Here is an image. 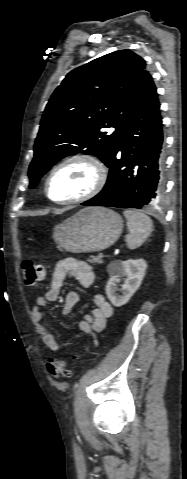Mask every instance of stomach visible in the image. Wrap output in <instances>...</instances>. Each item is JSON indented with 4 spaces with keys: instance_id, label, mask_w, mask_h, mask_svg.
<instances>
[{
    "instance_id": "1",
    "label": "stomach",
    "mask_w": 187,
    "mask_h": 479,
    "mask_svg": "<svg viewBox=\"0 0 187 479\" xmlns=\"http://www.w3.org/2000/svg\"><path fill=\"white\" fill-rule=\"evenodd\" d=\"M122 229L123 220L118 213L104 207H89L55 226L53 238L69 252H97L113 245Z\"/></svg>"
}]
</instances>
